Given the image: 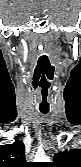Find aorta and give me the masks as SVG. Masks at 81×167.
<instances>
[{
    "mask_svg": "<svg viewBox=\"0 0 81 167\" xmlns=\"http://www.w3.org/2000/svg\"><path fill=\"white\" fill-rule=\"evenodd\" d=\"M35 160H37L38 162H48L50 158L45 155H37Z\"/></svg>",
    "mask_w": 81,
    "mask_h": 167,
    "instance_id": "aorta-1",
    "label": "aorta"
}]
</instances>
